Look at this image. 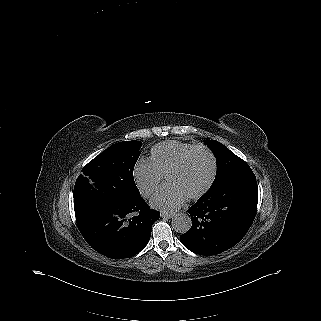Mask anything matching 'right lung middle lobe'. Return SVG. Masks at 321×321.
<instances>
[{
  "instance_id": "right-lung-middle-lobe-1",
  "label": "right lung middle lobe",
  "mask_w": 321,
  "mask_h": 321,
  "mask_svg": "<svg viewBox=\"0 0 321 321\" xmlns=\"http://www.w3.org/2000/svg\"><path fill=\"white\" fill-rule=\"evenodd\" d=\"M140 141L116 143L82 169L74 187V208L104 202L129 203L140 197L134 166L140 156Z\"/></svg>"
}]
</instances>
